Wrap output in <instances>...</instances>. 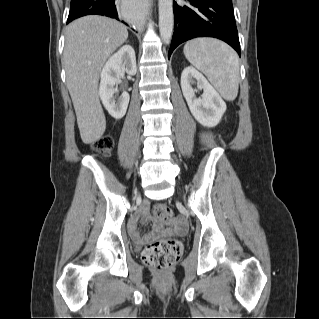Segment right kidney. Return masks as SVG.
I'll use <instances>...</instances> for the list:
<instances>
[{
	"label": "right kidney",
	"instance_id": "1",
	"mask_svg": "<svg viewBox=\"0 0 319 319\" xmlns=\"http://www.w3.org/2000/svg\"><path fill=\"white\" fill-rule=\"evenodd\" d=\"M136 71L135 51L130 45L122 46L102 69L99 96L106 110L115 119H121L126 114L130 96L123 92L116 101L114 86L119 83L123 72L135 75Z\"/></svg>",
	"mask_w": 319,
	"mask_h": 319
}]
</instances>
